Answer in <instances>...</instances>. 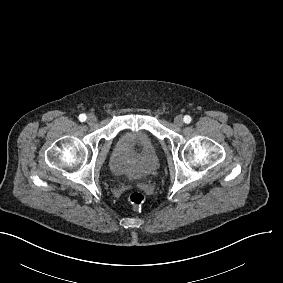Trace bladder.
Wrapping results in <instances>:
<instances>
[{
  "mask_svg": "<svg viewBox=\"0 0 283 283\" xmlns=\"http://www.w3.org/2000/svg\"><path fill=\"white\" fill-rule=\"evenodd\" d=\"M111 149L113 173L118 177L129 181L143 180L159 168L157 143L145 128L119 131Z\"/></svg>",
  "mask_w": 283,
  "mask_h": 283,
  "instance_id": "bladder-1",
  "label": "bladder"
}]
</instances>
